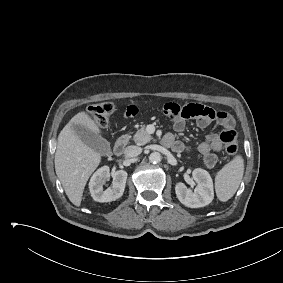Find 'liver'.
<instances>
[{
	"label": "liver",
	"instance_id": "obj_1",
	"mask_svg": "<svg viewBox=\"0 0 283 283\" xmlns=\"http://www.w3.org/2000/svg\"><path fill=\"white\" fill-rule=\"evenodd\" d=\"M74 124L84 126L98 135L100 129L82 111L70 119L58 136L55 171L69 200L75 206H80L85 185L101 162V154L82 142L72 128Z\"/></svg>",
	"mask_w": 283,
	"mask_h": 283
}]
</instances>
